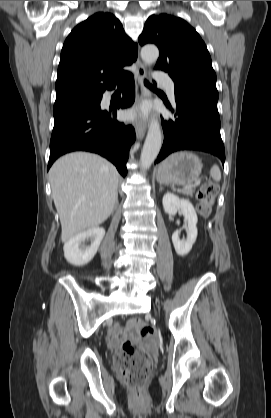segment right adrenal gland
<instances>
[{
  "mask_svg": "<svg viewBox=\"0 0 271 418\" xmlns=\"http://www.w3.org/2000/svg\"><path fill=\"white\" fill-rule=\"evenodd\" d=\"M117 205H118V197L116 198L115 208H117Z\"/></svg>",
  "mask_w": 271,
  "mask_h": 418,
  "instance_id": "right-adrenal-gland-1",
  "label": "right adrenal gland"
}]
</instances>
